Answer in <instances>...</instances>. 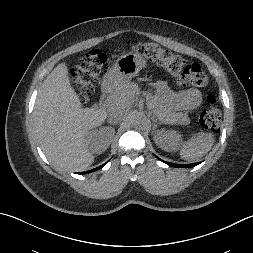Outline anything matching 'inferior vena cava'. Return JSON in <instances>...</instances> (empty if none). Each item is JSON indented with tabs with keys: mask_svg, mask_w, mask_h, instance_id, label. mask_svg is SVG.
Listing matches in <instances>:
<instances>
[{
	"mask_svg": "<svg viewBox=\"0 0 253 253\" xmlns=\"http://www.w3.org/2000/svg\"><path fill=\"white\" fill-rule=\"evenodd\" d=\"M128 112V105L113 104L108 109V121L112 124H116L122 121Z\"/></svg>",
	"mask_w": 253,
	"mask_h": 253,
	"instance_id": "1",
	"label": "inferior vena cava"
}]
</instances>
